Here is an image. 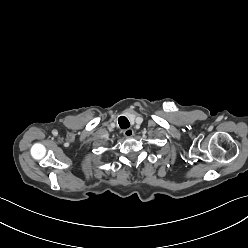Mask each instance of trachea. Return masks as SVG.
Returning <instances> with one entry per match:
<instances>
[{"label": "trachea", "instance_id": "obj_1", "mask_svg": "<svg viewBox=\"0 0 248 248\" xmlns=\"http://www.w3.org/2000/svg\"><path fill=\"white\" fill-rule=\"evenodd\" d=\"M118 124H119L120 128H122V129H126L130 126L128 119L124 116H121L118 118Z\"/></svg>", "mask_w": 248, "mask_h": 248}]
</instances>
